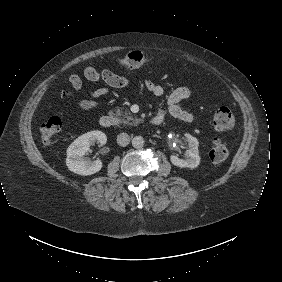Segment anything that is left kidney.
Masks as SVG:
<instances>
[{"instance_id":"left-kidney-1","label":"left kidney","mask_w":282,"mask_h":282,"mask_svg":"<svg viewBox=\"0 0 282 282\" xmlns=\"http://www.w3.org/2000/svg\"><path fill=\"white\" fill-rule=\"evenodd\" d=\"M185 142L187 145L186 155L189 156V158L184 161L180 159L177 155H170V161L174 166H177L179 168H189L191 170L197 168L200 164V156H199V143L198 140L189 135L185 134Z\"/></svg>"}]
</instances>
